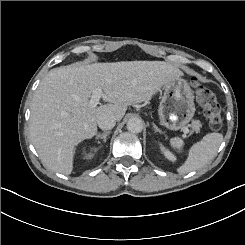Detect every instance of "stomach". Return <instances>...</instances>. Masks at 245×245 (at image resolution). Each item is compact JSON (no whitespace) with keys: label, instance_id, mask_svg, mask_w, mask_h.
<instances>
[{"label":"stomach","instance_id":"0dacf381","mask_svg":"<svg viewBox=\"0 0 245 245\" xmlns=\"http://www.w3.org/2000/svg\"><path fill=\"white\" fill-rule=\"evenodd\" d=\"M164 91L158 113L161 123L171 130L184 127L195 113L194 95L188 83L176 76L161 86Z\"/></svg>","mask_w":245,"mask_h":245}]
</instances>
